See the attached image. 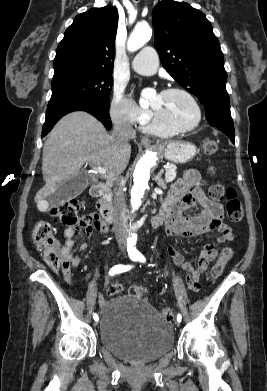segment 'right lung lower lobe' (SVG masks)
Segmentation results:
<instances>
[{
    "instance_id": "98d812e1",
    "label": "right lung lower lobe",
    "mask_w": 267,
    "mask_h": 391,
    "mask_svg": "<svg viewBox=\"0 0 267 391\" xmlns=\"http://www.w3.org/2000/svg\"><path fill=\"white\" fill-rule=\"evenodd\" d=\"M73 111H86L92 114L101 121L108 130L112 126L109 108L85 101L68 100L47 108L42 136L47 135L61 117Z\"/></svg>"
}]
</instances>
